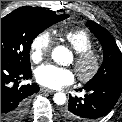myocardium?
I'll use <instances>...</instances> for the list:
<instances>
[{
	"instance_id": "f54148a6",
	"label": "myocardium",
	"mask_w": 122,
	"mask_h": 122,
	"mask_svg": "<svg viewBox=\"0 0 122 122\" xmlns=\"http://www.w3.org/2000/svg\"><path fill=\"white\" fill-rule=\"evenodd\" d=\"M101 56L93 48L76 52L74 67L77 76L82 82H89L99 72L101 68Z\"/></svg>"
}]
</instances>
